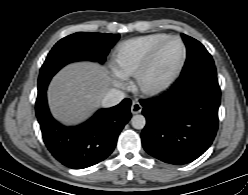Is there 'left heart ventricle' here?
<instances>
[{"label": "left heart ventricle", "mask_w": 248, "mask_h": 195, "mask_svg": "<svg viewBox=\"0 0 248 195\" xmlns=\"http://www.w3.org/2000/svg\"><path fill=\"white\" fill-rule=\"evenodd\" d=\"M182 52V45L179 41H170L162 50L149 81L159 83L168 77L178 66Z\"/></svg>", "instance_id": "1"}]
</instances>
